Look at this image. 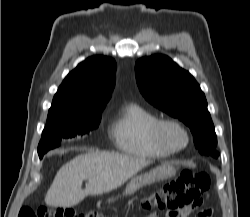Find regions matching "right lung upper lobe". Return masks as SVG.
I'll return each mask as SVG.
<instances>
[{
  "label": "right lung upper lobe",
  "mask_w": 250,
  "mask_h": 217,
  "mask_svg": "<svg viewBox=\"0 0 250 217\" xmlns=\"http://www.w3.org/2000/svg\"><path fill=\"white\" fill-rule=\"evenodd\" d=\"M115 61L93 56L71 71L53 98L47 119L103 110L115 84Z\"/></svg>",
  "instance_id": "cb5924a9"
}]
</instances>
